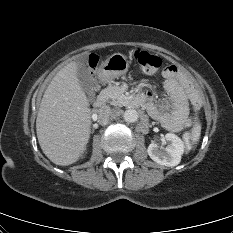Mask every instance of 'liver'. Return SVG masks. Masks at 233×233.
<instances>
[{"instance_id":"1","label":"liver","mask_w":233,"mask_h":233,"mask_svg":"<svg viewBox=\"0 0 233 233\" xmlns=\"http://www.w3.org/2000/svg\"><path fill=\"white\" fill-rule=\"evenodd\" d=\"M78 66L77 61H71L53 77L36 119L43 153L61 166L79 160L91 133V109L77 78Z\"/></svg>"}]
</instances>
